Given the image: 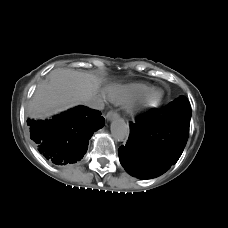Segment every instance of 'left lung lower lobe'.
<instances>
[{
  "label": "left lung lower lobe",
  "mask_w": 228,
  "mask_h": 228,
  "mask_svg": "<svg viewBox=\"0 0 228 228\" xmlns=\"http://www.w3.org/2000/svg\"><path fill=\"white\" fill-rule=\"evenodd\" d=\"M191 108L167 105L162 113L153 110L131 124L119 160L125 170L140 179L166 172L181 156L189 136Z\"/></svg>",
  "instance_id": "obj_1"
}]
</instances>
